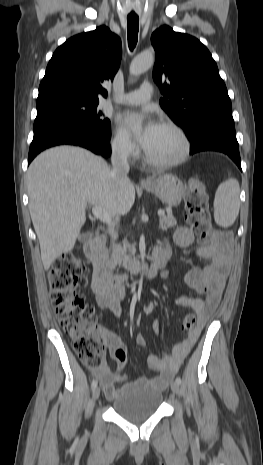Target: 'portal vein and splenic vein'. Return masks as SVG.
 Instances as JSON below:
<instances>
[{
  "label": "portal vein and splenic vein",
  "instance_id": "portal-vein-and-splenic-vein-1",
  "mask_svg": "<svg viewBox=\"0 0 263 465\" xmlns=\"http://www.w3.org/2000/svg\"><path fill=\"white\" fill-rule=\"evenodd\" d=\"M92 213L97 219L108 224L109 226L113 224L112 217L106 211H104L100 206H93ZM158 215L163 216L164 212L160 210L158 211Z\"/></svg>",
  "mask_w": 263,
  "mask_h": 465
}]
</instances>
